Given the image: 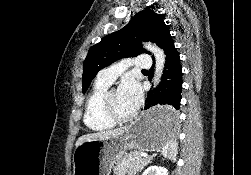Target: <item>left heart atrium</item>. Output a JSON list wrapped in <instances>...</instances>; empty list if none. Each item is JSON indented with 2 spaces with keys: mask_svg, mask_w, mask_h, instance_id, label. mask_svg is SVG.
Segmentation results:
<instances>
[{
  "mask_svg": "<svg viewBox=\"0 0 251 175\" xmlns=\"http://www.w3.org/2000/svg\"><path fill=\"white\" fill-rule=\"evenodd\" d=\"M118 97L121 104L130 113H135L142 100V91L139 83L131 77L125 78L118 88Z\"/></svg>",
  "mask_w": 251,
  "mask_h": 175,
  "instance_id": "1",
  "label": "left heart atrium"
}]
</instances>
